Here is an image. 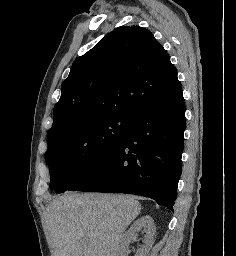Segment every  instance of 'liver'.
Returning a JSON list of instances; mask_svg holds the SVG:
<instances>
[{"label": "liver", "instance_id": "1", "mask_svg": "<svg viewBox=\"0 0 236 256\" xmlns=\"http://www.w3.org/2000/svg\"><path fill=\"white\" fill-rule=\"evenodd\" d=\"M141 210L133 196H58L46 208L54 256H118L124 232Z\"/></svg>", "mask_w": 236, "mask_h": 256}]
</instances>
